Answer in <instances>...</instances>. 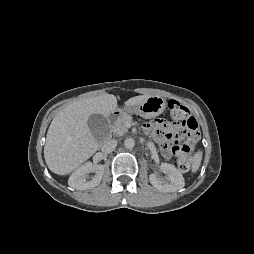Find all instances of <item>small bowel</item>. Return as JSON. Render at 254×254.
Returning a JSON list of instances; mask_svg holds the SVG:
<instances>
[{
	"label": "small bowel",
	"instance_id": "c3829d8e",
	"mask_svg": "<svg viewBox=\"0 0 254 254\" xmlns=\"http://www.w3.org/2000/svg\"><path fill=\"white\" fill-rule=\"evenodd\" d=\"M145 128L150 132L154 140L159 143L163 156L166 158L170 157L171 150L168 142L172 138V133L178 129L179 126L169 125L163 120H155L147 123Z\"/></svg>",
	"mask_w": 254,
	"mask_h": 254
}]
</instances>
